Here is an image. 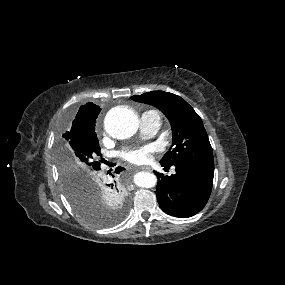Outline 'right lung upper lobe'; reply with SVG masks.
<instances>
[{"label": "right lung upper lobe", "mask_w": 285, "mask_h": 285, "mask_svg": "<svg viewBox=\"0 0 285 285\" xmlns=\"http://www.w3.org/2000/svg\"><path fill=\"white\" fill-rule=\"evenodd\" d=\"M100 111V107L91 102L81 106L70 130L63 134V137L73 138L95 133V120Z\"/></svg>", "instance_id": "right-lung-upper-lobe-1"}]
</instances>
